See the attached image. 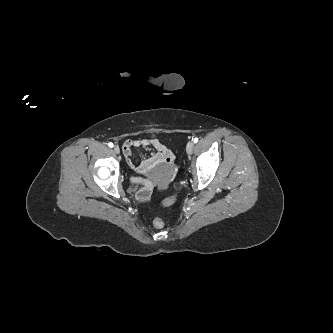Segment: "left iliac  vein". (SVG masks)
Masks as SVG:
<instances>
[{
	"instance_id": "obj_1",
	"label": "left iliac vein",
	"mask_w": 333,
	"mask_h": 333,
	"mask_svg": "<svg viewBox=\"0 0 333 333\" xmlns=\"http://www.w3.org/2000/svg\"><path fill=\"white\" fill-rule=\"evenodd\" d=\"M193 149H194V143L190 141L186 146V151L188 154H192Z\"/></svg>"
}]
</instances>
